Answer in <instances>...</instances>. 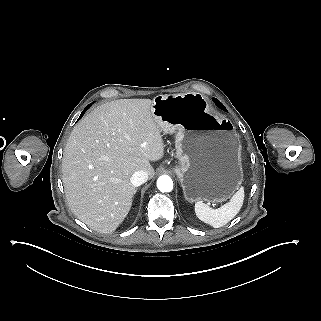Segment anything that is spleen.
Segmentation results:
<instances>
[{
    "label": "spleen",
    "mask_w": 321,
    "mask_h": 321,
    "mask_svg": "<svg viewBox=\"0 0 321 321\" xmlns=\"http://www.w3.org/2000/svg\"><path fill=\"white\" fill-rule=\"evenodd\" d=\"M244 202V187L232 196L229 202L220 208L213 209L202 201L195 203L196 216L206 224L214 228H220L230 222L240 211Z\"/></svg>",
    "instance_id": "spleen-1"
}]
</instances>
